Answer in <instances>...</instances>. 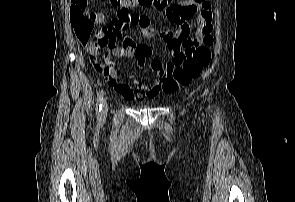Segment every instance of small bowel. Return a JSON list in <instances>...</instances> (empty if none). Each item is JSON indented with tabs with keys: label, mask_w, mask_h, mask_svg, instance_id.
I'll return each instance as SVG.
<instances>
[{
	"label": "small bowel",
	"mask_w": 295,
	"mask_h": 202,
	"mask_svg": "<svg viewBox=\"0 0 295 202\" xmlns=\"http://www.w3.org/2000/svg\"><path fill=\"white\" fill-rule=\"evenodd\" d=\"M90 0H72L71 9L85 13L93 22L100 24L105 21V14L94 12L89 7ZM166 13L167 22L171 29L164 30L161 34L162 41L165 43L168 60L165 62L162 57L154 53V49L147 44L138 45L127 34H125L124 21L111 17L107 25L100 26V37L105 39V43L98 47H86L89 59L96 72L112 86L117 93L130 100H141L145 97L155 96L161 89L162 71L168 64L174 63L179 54L184 50H190L201 44V37L205 33L212 31V12L210 0H181L175 5H165L157 7ZM137 19L141 34L144 38L150 39L154 36L155 30L151 26L148 16L143 14L131 13ZM195 20L196 37L191 38V22ZM132 25V24H130ZM124 33L122 48H115V36ZM105 48L104 63H96L95 59L99 55L100 49ZM116 56L136 58L140 63L145 60L150 61V72L156 78L147 85L135 82L129 85L125 82H132V77H117L114 71L115 64H119V59H112ZM100 68V69H99ZM105 72V73H104ZM107 75H110L108 77Z\"/></svg>",
	"instance_id": "1"
}]
</instances>
